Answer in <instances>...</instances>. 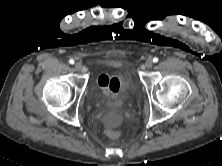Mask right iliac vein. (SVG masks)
<instances>
[{
    "mask_svg": "<svg viewBox=\"0 0 222 166\" xmlns=\"http://www.w3.org/2000/svg\"><path fill=\"white\" fill-rule=\"evenodd\" d=\"M74 68H75L77 71H80V70L82 69V64L79 63V62H77V63H75Z\"/></svg>",
    "mask_w": 222,
    "mask_h": 166,
    "instance_id": "right-iliac-vein-1",
    "label": "right iliac vein"
}]
</instances>
